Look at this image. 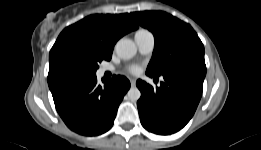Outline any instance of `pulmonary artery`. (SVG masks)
<instances>
[{
  "label": "pulmonary artery",
  "mask_w": 261,
  "mask_h": 150,
  "mask_svg": "<svg viewBox=\"0 0 261 150\" xmlns=\"http://www.w3.org/2000/svg\"><path fill=\"white\" fill-rule=\"evenodd\" d=\"M135 42L141 54H149L153 51L154 48V44H155L154 35L147 30L138 32L135 35ZM106 71L107 68H102L100 70L101 73H104Z\"/></svg>",
  "instance_id": "obj_1"
}]
</instances>
